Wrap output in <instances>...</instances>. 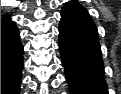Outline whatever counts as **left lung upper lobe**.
<instances>
[{"mask_svg":"<svg viewBox=\"0 0 121 94\" xmlns=\"http://www.w3.org/2000/svg\"><path fill=\"white\" fill-rule=\"evenodd\" d=\"M65 6H68L71 9L77 10L81 13L88 14V11L78 1H68L65 3Z\"/></svg>","mask_w":121,"mask_h":94,"instance_id":"obj_1","label":"left lung upper lobe"}]
</instances>
